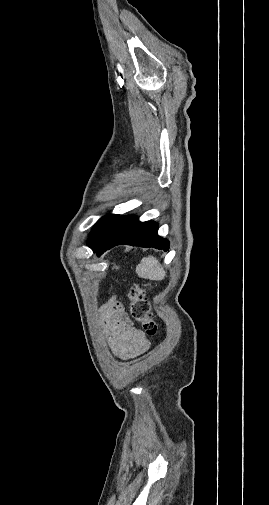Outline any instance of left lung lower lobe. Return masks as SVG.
Instances as JSON below:
<instances>
[{"mask_svg": "<svg viewBox=\"0 0 269 505\" xmlns=\"http://www.w3.org/2000/svg\"><path fill=\"white\" fill-rule=\"evenodd\" d=\"M158 224L155 222H140L134 216L118 217L104 238L93 246H89L98 255L120 244L132 246L154 247L167 251L169 242L158 236Z\"/></svg>", "mask_w": 269, "mask_h": 505, "instance_id": "1", "label": "left lung lower lobe"}]
</instances>
